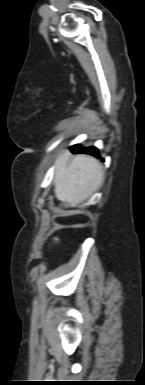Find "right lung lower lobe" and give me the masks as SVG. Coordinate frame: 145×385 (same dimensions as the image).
<instances>
[{"label": "right lung lower lobe", "mask_w": 145, "mask_h": 385, "mask_svg": "<svg viewBox=\"0 0 145 385\" xmlns=\"http://www.w3.org/2000/svg\"><path fill=\"white\" fill-rule=\"evenodd\" d=\"M71 149H72L73 153H86V154L93 155L97 158L100 157L98 149L96 147L83 148L80 145H74V146H72Z\"/></svg>", "instance_id": "obj_1"}]
</instances>
